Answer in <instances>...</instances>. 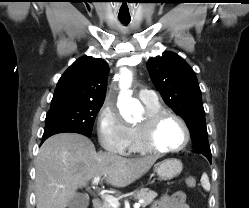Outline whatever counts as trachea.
Wrapping results in <instances>:
<instances>
[{
  "instance_id": "obj_1",
  "label": "trachea",
  "mask_w": 249,
  "mask_h": 208,
  "mask_svg": "<svg viewBox=\"0 0 249 208\" xmlns=\"http://www.w3.org/2000/svg\"><path fill=\"white\" fill-rule=\"evenodd\" d=\"M120 21L123 23V24H128L130 22L129 19H120Z\"/></svg>"
}]
</instances>
